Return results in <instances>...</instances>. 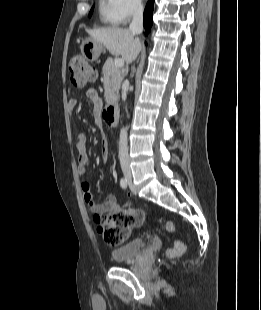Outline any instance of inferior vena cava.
<instances>
[{
    "label": "inferior vena cava",
    "mask_w": 261,
    "mask_h": 310,
    "mask_svg": "<svg viewBox=\"0 0 261 310\" xmlns=\"http://www.w3.org/2000/svg\"><path fill=\"white\" fill-rule=\"evenodd\" d=\"M129 30L133 35H138L143 30V6L141 2H136L134 5L133 19L129 26ZM129 84L125 81V85ZM122 90V99L125 100L127 97V87ZM119 159L122 167H129V154H128V140L127 130L122 128L120 132L119 140Z\"/></svg>",
    "instance_id": "inferior-vena-cava-1"
}]
</instances>
